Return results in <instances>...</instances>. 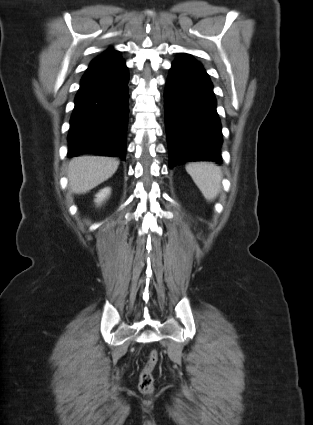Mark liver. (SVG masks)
Returning a JSON list of instances; mask_svg holds the SVG:
<instances>
[{
    "instance_id": "obj_1",
    "label": "liver",
    "mask_w": 313,
    "mask_h": 425,
    "mask_svg": "<svg viewBox=\"0 0 313 425\" xmlns=\"http://www.w3.org/2000/svg\"><path fill=\"white\" fill-rule=\"evenodd\" d=\"M119 160L102 156H81L69 163V187L76 194L89 192L109 179L117 170Z\"/></svg>"
}]
</instances>
